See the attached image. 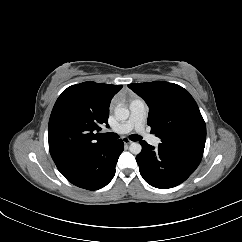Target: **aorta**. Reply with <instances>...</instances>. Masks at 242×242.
<instances>
[{
	"mask_svg": "<svg viewBox=\"0 0 242 242\" xmlns=\"http://www.w3.org/2000/svg\"><path fill=\"white\" fill-rule=\"evenodd\" d=\"M114 112L116 118L121 121L127 120L130 114L129 109L124 106H117ZM129 150L132 154L137 155L141 152L142 146L138 142H132L129 146Z\"/></svg>",
	"mask_w": 242,
	"mask_h": 242,
	"instance_id": "aorta-1",
	"label": "aorta"
}]
</instances>
